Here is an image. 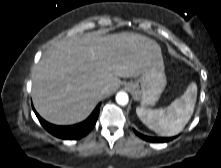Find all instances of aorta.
I'll return each instance as SVG.
<instances>
[{
	"label": "aorta",
	"mask_w": 221,
	"mask_h": 168,
	"mask_svg": "<svg viewBox=\"0 0 221 168\" xmlns=\"http://www.w3.org/2000/svg\"><path fill=\"white\" fill-rule=\"evenodd\" d=\"M129 101L128 95L126 92L120 91L116 95V102L119 105L125 106Z\"/></svg>",
	"instance_id": "obj_1"
}]
</instances>
